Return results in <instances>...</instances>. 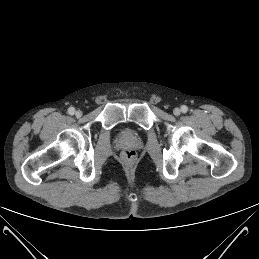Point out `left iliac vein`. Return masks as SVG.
<instances>
[{
    "instance_id": "left-iliac-vein-1",
    "label": "left iliac vein",
    "mask_w": 259,
    "mask_h": 259,
    "mask_svg": "<svg viewBox=\"0 0 259 259\" xmlns=\"http://www.w3.org/2000/svg\"><path fill=\"white\" fill-rule=\"evenodd\" d=\"M180 113H181V111H180L179 108H175V109L173 110V114H174L175 116H179Z\"/></svg>"
}]
</instances>
